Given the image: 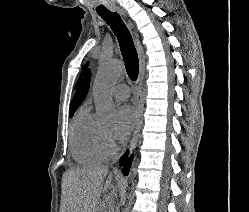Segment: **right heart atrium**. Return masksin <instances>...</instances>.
<instances>
[{"label": "right heart atrium", "instance_id": "right-heart-atrium-1", "mask_svg": "<svg viewBox=\"0 0 249 212\" xmlns=\"http://www.w3.org/2000/svg\"><path fill=\"white\" fill-rule=\"evenodd\" d=\"M101 144L106 157H110L114 152V145L108 133H101Z\"/></svg>", "mask_w": 249, "mask_h": 212}]
</instances>
